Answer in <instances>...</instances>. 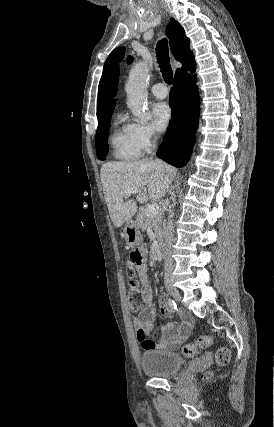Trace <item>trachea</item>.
Here are the masks:
<instances>
[{
  "instance_id": "3493384b",
  "label": "trachea",
  "mask_w": 274,
  "mask_h": 427,
  "mask_svg": "<svg viewBox=\"0 0 274 427\" xmlns=\"http://www.w3.org/2000/svg\"><path fill=\"white\" fill-rule=\"evenodd\" d=\"M157 62L162 72V76L169 85L172 82L173 71L169 61V49L166 39H162L156 46Z\"/></svg>"
}]
</instances>
